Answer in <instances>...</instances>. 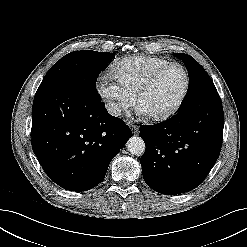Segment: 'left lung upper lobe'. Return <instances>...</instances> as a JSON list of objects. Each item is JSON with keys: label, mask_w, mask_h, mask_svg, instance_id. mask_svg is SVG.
Instances as JSON below:
<instances>
[{"label": "left lung upper lobe", "mask_w": 247, "mask_h": 247, "mask_svg": "<svg viewBox=\"0 0 247 247\" xmlns=\"http://www.w3.org/2000/svg\"><path fill=\"white\" fill-rule=\"evenodd\" d=\"M174 55L182 59L188 69L190 88L182 105L188 106L195 100L196 93L200 91V87L202 86L201 84L205 82H211L213 84V82L204 68L193 57L184 53H175Z\"/></svg>", "instance_id": "5c2ea615"}]
</instances>
